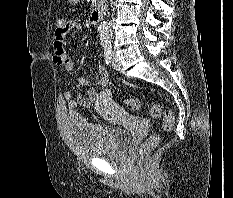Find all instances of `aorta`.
<instances>
[{
  "label": "aorta",
  "instance_id": "1",
  "mask_svg": "<svg viewBox=\"0 0 233 198\" xmlns=\"http://www.w3.org/2000/svg\"><path fill=\"white\" fill-rule=\"evenodd\" d=\"M99 35H100V40L102 42H109L111 39V31H110V26L109 23L107 21H103L99 28Z\"/></svg>",
  "mask_w": 233,
  "mask_h": 198
}]
</instances>
